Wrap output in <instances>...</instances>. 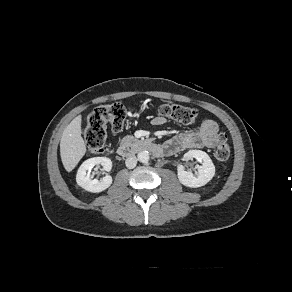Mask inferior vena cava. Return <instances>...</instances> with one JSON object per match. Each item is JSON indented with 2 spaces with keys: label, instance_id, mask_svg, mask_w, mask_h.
<instances>
[{
  "label": "inferior vena cava",
  "instance_id": "1",
  "mask_svg": "<svg viewBox=\"0 0 292 292\" xmlns=\"http://www.w3.org/2000/svg\"><path fill=\"white\" fill-rule=\"evenodd\" d=\"M126 167L133 169L137 165V158L135 156H130L125 161Z\"/></svg>",
  "mask_w": 292,
  "mask_h": 292
}]
</instances>
